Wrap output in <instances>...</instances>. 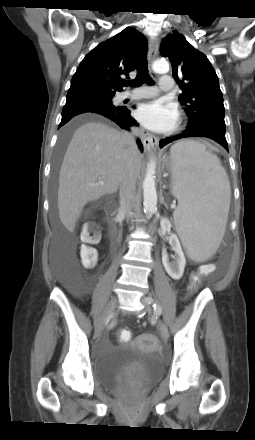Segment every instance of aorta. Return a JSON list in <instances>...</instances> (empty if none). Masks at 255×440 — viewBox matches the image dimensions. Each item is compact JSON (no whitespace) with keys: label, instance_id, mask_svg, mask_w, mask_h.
<instances>
[{"label":"aorta","instance_id":"1","mask_svg":"<svg viewBox=\"0 0 255 440\" xmlns=\"http://www.w3.org/2000/svg\"><path fill=\"white\" fill-rule=\"evenodd\" d=\"M152 68L156 73H167L169 71V64L165 60H156ZM155 162L151 161L147 166L146 175L143 181V196H144V212L151 216L157 209V192L155 186Z\"/></svg>","mask_w":255,"mask_h":440}]
</instances>
